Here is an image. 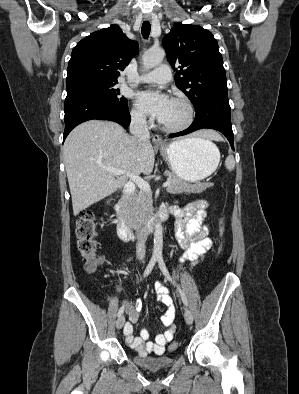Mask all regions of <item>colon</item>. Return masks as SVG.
Here are the masks:
<instances>
[{"mask_svg": "<svg viewBox=\"0 0 299 394\" xmlns=\"http://www.w3.org/2000/svg\"><path fill=\"white\" fill-rule=\"evenodd\" d=\"M219 232L222 238L225 232L224 218L220 220ZM76 236L78 250L85 260V269L89 272L94 271L103 260L98 252V243L96 241L97 228L95 215L92 210H84L80 215L76 224ZM222 248L223 245L221 243L219 253L222 251ZM169 348L174 350L176 344L172 343Z\"/></svg>", "mask_w": 299, "mask_h": 394, "instance_id": "5ec220e1", "label": "colon"}]
</instances>
